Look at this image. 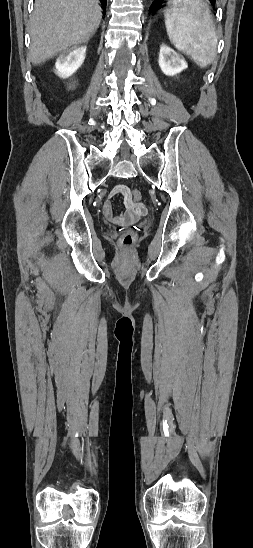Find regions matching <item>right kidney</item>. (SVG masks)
Returning a JSON list of instances; mask_svg holds the SVG:
<instances>
[{"mask_svg": "<svg viewBox=\"0 0 253 548\" xmlns=\"http://www.w3.org/2000/svg\"><path fill=\"white\" fill-rule=\"evenodd\" d=\"M86 55V46L74 47L61 53L57 58L55 67L56 74L61 78H68L82 65ZM75 88L70 84L69 89Z\"/></svg>", "mask_w": 253, "mask_h": 548, "instance_id": "ca27d5eb", "label": "right kidney"}]
</instances>
